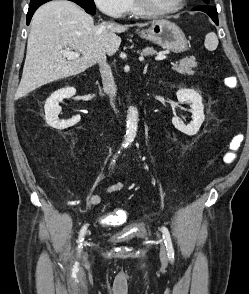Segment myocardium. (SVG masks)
Wrapping results in <instances>:
<instances>
[{"mask_svg": "<svg viewBox=\"0 0 249 294\" xmlns=\"http://www.w3.org/2000/svg\"><path fill=\"white\" fill-rule=\"evenodd\" d=\"M186 1L187 0H178V2L172 8H169L166 10H155L148 5L147 0H134L138 11L141 14L149 16V17H162V16L173 14L179 11L183 7Z\"/></svg>", "mask_w": 249, "mask_h": 294, "instance_id": "obj_1", "label": "myocardium"}]
</instances>
